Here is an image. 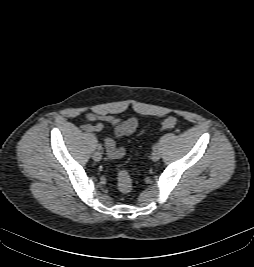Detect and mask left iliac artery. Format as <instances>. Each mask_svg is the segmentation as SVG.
<instances>
[{
    "mask_svg": "<svg viewBox=\"0 0 254 267\" xmlns=\"http://www.w3.org/2000/svg\"><path fill=\"white\" fill-rule=\"evenodd\" d=\"M156 149H158V145H157V144H155V145L153 146V150H156Z\"/></svg>",
    "mask_w": 254,
    "mask_h": 267,
    "instance_id": "44dca946",
    "label": "left iliac artery"
}]
</instances>
